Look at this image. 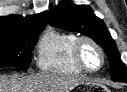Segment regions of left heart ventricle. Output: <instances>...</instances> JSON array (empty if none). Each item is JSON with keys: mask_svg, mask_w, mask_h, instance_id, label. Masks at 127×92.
<instances>
[{"mask_svg": "<svg viewBox=\"0 0 127 92\" xmlns=\"http://www.w3.org/2000/svg\"><path fill=\"white\" fill-rule=\"evenodd\" d=\"M82 57L85 65L89 69H97L101 63L100 53L90 44H85L82 48Z\"/></svg>", "mask_w": 127, "mask_h": 92, "instance_id": "obj_1", "label": "left heart ventricle"}]
</instances>
